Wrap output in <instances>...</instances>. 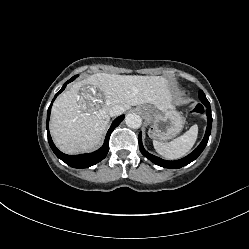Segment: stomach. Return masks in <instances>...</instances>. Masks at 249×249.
Returning a JSON list of instances; mask_svg holds the SVG:
<instances>
[{"label": "stomach", "instance_id": "stomach-1", "mask_svg": "<svg viewBox=\"0 0 249 249\" xmlns=\"http://www.w3.org/2000/svg\"><path fill=\"white\" fill-rule=\"evenodd\" d=\"M141 109L145 117L152 123L149 136L153 139L160 141L171 139L181 132L184 126L183 117L174 109L159 111L151 106H143Z\"/></svg>", "mask_w": 249, "mask_h": 249}]
</instances>
